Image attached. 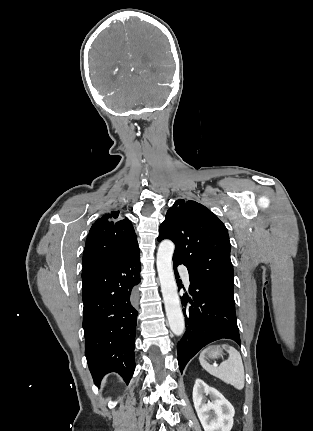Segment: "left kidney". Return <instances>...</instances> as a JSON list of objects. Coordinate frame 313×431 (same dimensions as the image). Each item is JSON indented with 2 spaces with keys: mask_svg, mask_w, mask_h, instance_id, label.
<instances>
[{
  "mask_svg": "<svg viewBox=\"0 0 313 431\" xmlns=\"http://www.w3.org/2000/svg\"><path fill=\"white\" fill-rule=\"evenodd\" d=\"M211 401L206 402V396ZM193 402L204 431H230L235 410L232 404L215 388L203 380L196 379L193 387Z\"/></svg>",
  "mask_w": 313,
  "mask_h": 431,
  "instance_id": "1",
  "label": "left kidney"
}]
</instances>
